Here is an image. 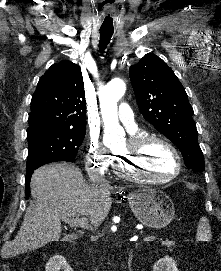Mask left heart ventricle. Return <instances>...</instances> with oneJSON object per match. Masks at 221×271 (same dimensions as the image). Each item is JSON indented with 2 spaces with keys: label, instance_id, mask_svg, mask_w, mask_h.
<instances>
[{
  "label": "left heart ventricle",
  "instance_id": "left-heart-ventricle-1",
  "mask_svg": "<svg viewBox=\"0 0 221 271\" xmlns=\"http://www.w3.org/2000/svg\"><path fill=\"white\" fill-rule=\"evenodd\" d=\"M158 139H148L139 144V156H131L130 160H116V165H124L125 168L148 169L149 172H160L166 177H175L170 147H161V144H153ZM144 174V171H141Z\"/></svg>",
  "mask_w": 221,
  "mask_h": 271
}]
</instances>
